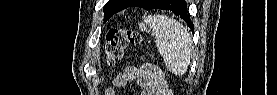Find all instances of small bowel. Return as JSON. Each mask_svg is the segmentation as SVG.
I'll return each mask as SVG.
<instances>
[{
	"label": "small bowel",
	"mask_w": 277,
	"mask_h": 95,
	"mask_svg": "<svg viewBox=\"0 0 277 95\" xmlns=\"http://www.w3.org/2000/svg\"><path fill=\"white\" fill-rule=\"evenodd\" d=\"M153 66L147 62H143L142 66H131L125 69L124 74L113 79V84L118 87H126L131 79H136L143 85L142 95H167L166 86L159 84L153 75ZM105 94H117L112 89H107Z\"/></svg>",
	"instance_id": "1"
}]
</instances>
